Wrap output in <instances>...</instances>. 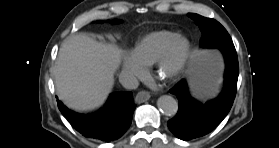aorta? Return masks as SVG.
<instances>
[{
	"label": "aorta",
	"mask_w": 279,
	"mask_h": 148,
	"mask_svg": "<svg viewBox=\"0 0 279 148\" xmlns=\"http://www.w3.org/2000/svg\"><path fill=\"white\" fill-rule=\"evenodd\" d=\"M159 110L166 116H173L178 110V102L170 95H163L157 101Z\"/></svg>",
	"instance_id": "1"
}]
</instances>
